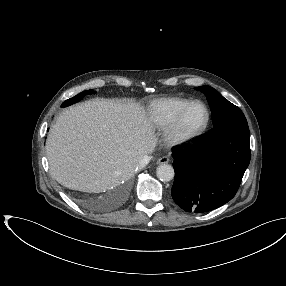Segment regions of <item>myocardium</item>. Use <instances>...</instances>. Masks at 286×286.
Wrapping results in <instances>:
<instances>
[{"label": "myocardium", "mask_w": 286, "mask_h": 286, "mask_svg": "<svg viewBox=\"0 0 286 286\" xmlns=\"http://www.w3.org/2000/svg\"><path fill=\"white\" fill-rule=\"evenodd\" d=\"M197 104L202 105L203 108L205 109L206 116L204 123L195 130L185 132L183 131V124L185 118L190 109ZM210 117H211L210 110L204 102L199 100L191 101L178 115V117L167 127L165 131L166 142L170 146H183L193 142L206 131L210 123Z\"/></svg>", "instance_id": "f54148a6"}]
</instances>
